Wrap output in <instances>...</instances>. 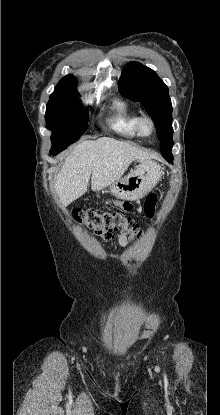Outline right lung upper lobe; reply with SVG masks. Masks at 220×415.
Returning <instances> with one entry per match:
<instances>
[{"instance_id": "cb5924a9", "label": "right lung upper lobe", "mask_w": 220, "mask_h": 415, "mask_svg": "<svg viewBox=\"0 0 220 415\" xmlns=\"http://www.w3.org/2000/svg\"><path fill=\"white\" fill-rule=\"evenodd\" d=\"M55 93L78 94L76 91V81L72 75H67L59 81L55 88Z\"/></svg>"}]
</instances>
